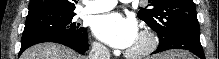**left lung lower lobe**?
I'll use <instances>...</instances> for the list:
<instances>
[{"label":"left lung lower lobe","instance_id":"1","mask_svg":"<svg viewBox=\"0 0 219 59\" xmlns=\"http://www.w3.org/2000/svg\"><path fill=\"white\" fill-rule=\"evenodd\" d=\"M199 35V28H187L178 32L170 39L164 42H159L157 50H155L152 54L171 49H184L194 53L201 59H205Z\"/></svg>","mask_w":219,"mask_h":59}]
</instances>
